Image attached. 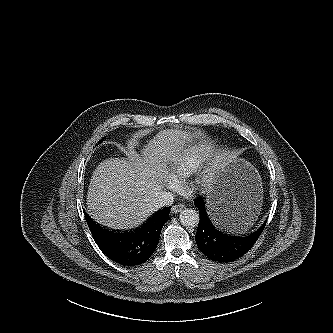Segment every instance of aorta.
<instances>
[{"mask_svg": "<svg viewBox=\"0 0 333 333\" xmlns=\"http://www.w3.org/2000/svg\"><path fill=\"white\" fill-rule=\"evenodd\" d=\"M180 222L185 227H196L199 223V214L196 210L186 208L179 215Z\"/></svg>", "mask_w": 333, "mask_h": 333, "instance_id": "obj_1", "label": "aorta"}]
</instances>
